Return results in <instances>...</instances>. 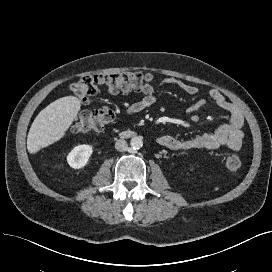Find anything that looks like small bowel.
Instances as JSON below:
<instances>
[{
    "label": "small bowel",
    "instance_id": "1",
    "mask_svg": "<svg viewBox=\"0 0 272 272\" xmlns=\"http://www.w3.org/2000/svg\"><path fill=\"white\" fill-rule=\"evenodd\" d=\"M161 84H170L182 90L189 95H197L199 88L195 85L188 84L175 77H165L160 81ZM209 98L228 116V122L220 125L212 133L197 135L191 139H179L173 135H162L158 142L170 150H187V149H207L214 150L220 147H227L231 150H239L243 143L242 128L245 123L242 110L234 103L228 101L223 94L217 89L209 91ZM154 93L145 94L142 98L131 100L125 108L127 115L137 114L156 102ZM206 104L205 99H199L187 108V113L194 119L196 113Z\"/></svg>",
    "mask_w": 272,
    "mask_h": 272
}]
</instances>
